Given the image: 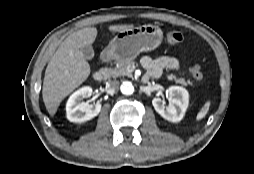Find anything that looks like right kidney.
Listing matches in <instances>:
<instances>
[{"label": "right kidney", "mask_w": 254, "mask_h": 174, "mask_svg": "<svg viewBox=\"0 0 254 174\" xmlns=\"http://www.w3.org/2000/svg\"><path fill=\"white\" fill-rule=\"evenodd\" d=\"M92 88L89 86L82 87L75 91L68 99L66 104L67 119L70 122L82 123L96 117L101 111V103L97 102L91 105L82 102L83 98L92 95Z\"/></svg>", "instance_id": "ca27d5eb"}]
</instances>
